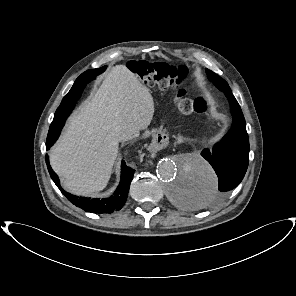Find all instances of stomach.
<instances>
[{
    "mask_svg": "<svg viewBox=\"0 0 296 296\" xmlns=\"http://www.w3.org/2000/svg\"><path fill=\"white\" fill-rule=\"evenodd\" d=\"M153 139L149 143V148L153 152H158L162 148L163 139L167 136V131L162 126H157L153 130Z\"/></svg>",
    "mask_w": 296,
    "mask_h": 296,
    "instance_id": "obj_1",
    "label": "stomach"
}]
</instances>
